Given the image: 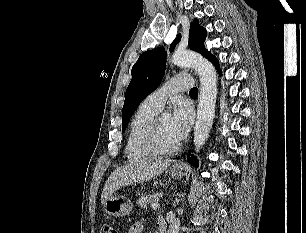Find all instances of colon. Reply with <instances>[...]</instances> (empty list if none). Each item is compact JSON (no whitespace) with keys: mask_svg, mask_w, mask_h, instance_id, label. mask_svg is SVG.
I'll use <instances>...</instances> for the list:
<instances>
[{"mask_svg":"<svg viewBox=\"0 0 306 233\" xmlns=\"http://www.w3.org/2000/svg\"><path fill=\"white\" fill-rule=\"evenodd\" d=\"M100 233H117V231L112 224L104 223L100 228Z\"/></svg>","mask_w":306,"mask_h":233,"instance_id":"obj_1","label":"colon"}]
</instances>
